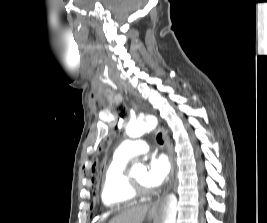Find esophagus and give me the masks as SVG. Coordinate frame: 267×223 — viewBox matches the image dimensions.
<instances>
[{"instance_id":"34e87169","label":"esophagus","mask_w":267,"mask_h":223,"mask_svg":"<svg viewBox=\"0 0 267 223\" xmlns=\"http://www.w3.org/2000/svg\"><path fill=\"white\" fill-rule=\"evenodd\" d=\"M160 132L162 133L164 144H165V147L167 149V153L169 155V160L171 163V178L173 179L175 164H174V158H173L172 145H171L170 140H169L166 132L164 131V129L160 128ZM159 203H160V200H158L157 202L154 203V205L151 208V212L157 211Z\"/></svg>"}]
</instances>
